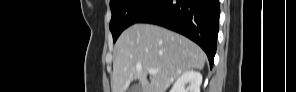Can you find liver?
Listing matches in <instances>:
<instances>
[{"label":"liver","mask_w":296,"mask_h":92,"mask_svg":"<svg viewBox=\"0 0 296 92\" xmlns=\"http://www.w3.org/2000/svg\"><path fill=\"white\" fill-rule=\"evenodd\" d=\"M112 92H126L139 80L141 92H166L175 79L190 70L203 69L206 55L194 42L163 27L134 24L115 44ZM155 69L156 74L148 70Z\"/></svg>","instance_id":"1"}]
</instances>
